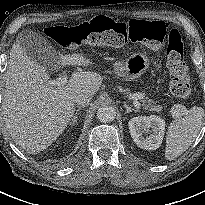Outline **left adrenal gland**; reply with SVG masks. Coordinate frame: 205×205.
Here are the masks:
<instances>
[{
	"label": "left adrenal gland",
	"instance_id": "obj_1",
	"mask_svg": "<svg viewBox=\"0 0 205 205\" xmlns=\"http://www.w3.org/2000/svg\"><path fill=\"white\" fill-rule=\"evenodd\" d=\"M124 107L126 108V113H130V112H132V111H134V112H139L138 109H133V108L129 107V106L127 105V103H124Z\"/></svg>",
	"mask_w": 205,
	"mask_h": 205
}]
</instances>
